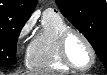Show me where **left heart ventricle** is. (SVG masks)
I'll return each mask as SVG.
<instances>
[{"mask_svg":"<svg viewBox=\"0 0 107 75\" xmlns=\"http://www.w3.org/2000/svg\"><path fill=\"white\" fill-rule=\"evenodd\" d=\"M67 51L71 61L78 66H87L91 61V53L87 45L77 35L70 36Z\"/></svg>","mask_w":107,"mask_h":75,"instance_id":"b2bd125f","label":"left heart ventricle"}]
</instances>
